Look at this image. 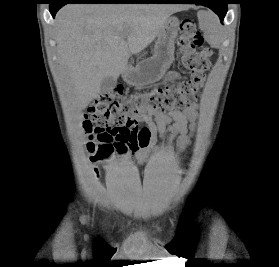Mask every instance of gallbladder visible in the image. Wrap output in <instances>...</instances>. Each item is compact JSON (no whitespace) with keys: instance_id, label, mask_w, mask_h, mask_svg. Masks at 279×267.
I'll return each instance as SVG.
<instances>
[{"instance_id":"bac80fb5","label":"gallbladder","mask_w":279,"mask_h":267,"mask_svg":"<svg viewBox=\"0 0 279 267\" xmlns=\"http://www.w3.org/2000/svg\"><path fill=\"white\" fill-rule=\"evenodd\" d=\"M116 78L113 76L105 77L101 82L100 92L101 93H108L113 91L116 86Z\"/></svg>"}]
</instances>
